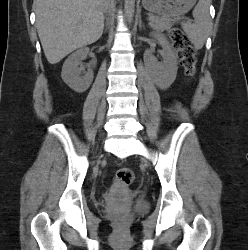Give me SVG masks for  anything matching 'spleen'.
<instances>
[{"mask_svg": "<svg viewBox=\"0 0 248 250\" xmlns=\"http://www.w3.org/2000/svg\"><path fill=\"white\" fill-rule=\"evenodd\" d=\"M209 0H199L193 10L195 23H183L182 29L196 49H201L211 29Z\"/></svg>", "mask_w": 248, "mask_h": 250, "instance_id": "3e777b00", "label": "spleen"}]
</instances>
